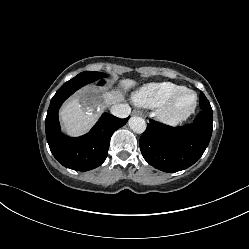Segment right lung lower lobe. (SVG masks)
I'll return each mask as SVG.
<instances>
[{"label":"right lung lower lobe","mask_w":249,"mask_h":249,"mask_svg":"<svg viewBox=\"0 0 249 249\" xmlns=\"http://www.w3.org/2000/svg\"><path fill=\"white\" fill-rule=\"evenodd\" d=\"M88 84L85 80L71 79L51 99L45 120L47 142L53 156L65 167L76 171H88L100 166L107 157L110 138L114 131L126 124L128 118L120 119L104 113L91 131L78 138H70L60 131L58 110L62 103L76 90ZM100 79L98 85H103Z\"/></svg>","instance_id":"98d812e1"}]
</instances>
